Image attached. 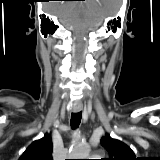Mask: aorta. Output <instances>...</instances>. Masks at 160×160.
Here are the masks:
<instances>
[{"instance_id":"obj_1","label":"aorta","mask_w":160,"mask_h":160,"mask_svg":"<svg viewBox=\"0 0 160 160\" xmlns=\"http://www.w3.org/2000/svg\"><path fill=\"white\" fill-rule=\"evenodd\" d=\"M90 148L85 144H78L71 148L69 159H88Z\"/></svg>"}]
</instances>
